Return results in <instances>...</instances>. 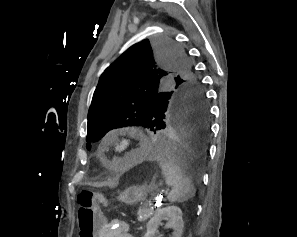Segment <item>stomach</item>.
<instances>
[{
  "mask_svg": "<svg viewBox=\"0 0 297 237\" xmlns=\"http://www.w3.org/2000/svg\"><path fill=\"white\" fill-rule=\"evenodd\" d=\"M157 186L154 182L150 184L133 185L122 192L118 199L128 205H134L138 202H143L149 194H153Z\"/></svg>",
  "mask_w": 297,
  "mask_h": 237,
  "instance_id": "0dacf381",
  "label": "stomach"
}]
</instances>
